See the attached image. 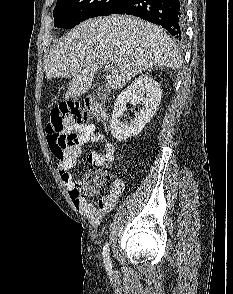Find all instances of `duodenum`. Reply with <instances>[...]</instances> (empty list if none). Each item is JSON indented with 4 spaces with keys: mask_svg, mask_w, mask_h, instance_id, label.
<instances>
[{
    "mask_svg": "<svg viewBox=\"0 0 233 294\" xmlns=\"http://www.w3.org/2000/svg\"><path fill=\"white\" fill-rule=\"evenodd\" d=\"M85 105L97 120H107L108 114L105 106L98 102L96 99H94L93 97H87L85 99Z\"/></svg>",
    "mask_w": 233,
    "mask_h": 294,
    "instance_id": "1",
    "label": "duodenum"
}]
</instances>
